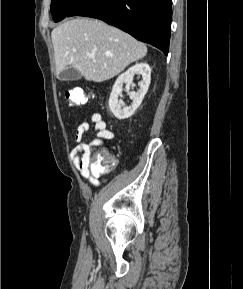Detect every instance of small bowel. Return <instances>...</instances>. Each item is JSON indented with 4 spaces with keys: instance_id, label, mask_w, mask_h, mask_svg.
I'll use <instances>...</instances> for the list:
<instances>
[{
    "instance_id": "c3829d8e",
    "label": "small bowel",
    "mask_w": 243,
    "mask_h": 289,
    "mask_svg": "<svg viewBox=\"0 0 243 289\" xmlns=\"http://www.w3.org/2000/svg\"><path fill=\"white\" fill-rule=\"evenodd\" d=\"M90 124H93L95 127L96 138L86 143L83 141V138L89 131ZM114 137V132L108 129L107 123L100 113H92L89 117L82 120L75 131L76 145L71 155L81 177L93 186H98L99 181L90 167L91 149L103 146L105 141L112 140Z\"/></svg>"
}]
</instances>
